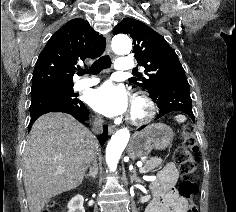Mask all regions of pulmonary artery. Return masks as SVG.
Segmentation results:
<instances>
[{
    "instance_id": "e3ab8cb5",
    "label": "pulmonary artery",
    "mask_w": 236,
    "mask_h": 212,
    "mask_svg": "<svg viewBox=\"0 0 236 212\" xmlns=\"http://www.w3.org/2000/svg\"><path fill=\"white\" fill-rule=\"evenodd\" d=\"M135 66L134 61L126 58H118L115 63V69L117 71H127ZM99 82L97 78H84L77 81L74 85L75 89L82 90L96 85Z\"/></svg>"
}]
</instances>
